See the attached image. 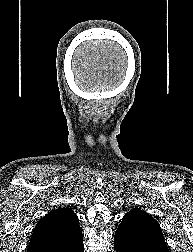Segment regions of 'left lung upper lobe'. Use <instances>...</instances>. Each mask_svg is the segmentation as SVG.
Returning <instances> with one entry per match:
<instances>
[{
    "label": "left lung upper lobe",
    "instance_id": "left-lung-upper-lobe-1",
    "mask_svg": "<svg viewBox=\"0 0 193 252\" xmlns=\"http://www.w3.org/2000/svg\"><path fill=\"white\" fill-rule=\"evenodd\" d=\"M118 229L137 233H158L163 236L159 223L140 209H132L125 214Z\"/></svg>",
    "mask_w": 193,
    "mask_h": 252
}]
</instances>
